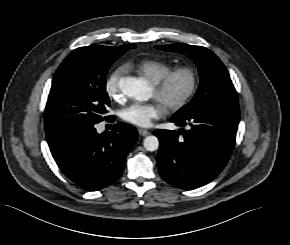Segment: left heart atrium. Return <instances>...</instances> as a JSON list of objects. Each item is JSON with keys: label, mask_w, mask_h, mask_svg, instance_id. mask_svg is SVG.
Masks as SVG:
<instances>
[{"label": "left heart atrium", "mask_w": 290, "mask_h": 245, "mask_svg": "<svg viewBox=\"0 0 290 245\" xmlns=\"http://www.w3.org/2000/svg\"><path fill=\"white\" fill-rule=\"evenodd\" d=\"M164 104L155 99L146 103H134L122 111V118L134 125L148 127L164 114Z\"/></svg>", "instance_id": "1"}]
</instances>
